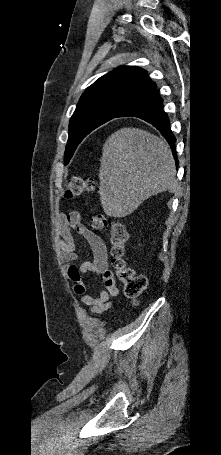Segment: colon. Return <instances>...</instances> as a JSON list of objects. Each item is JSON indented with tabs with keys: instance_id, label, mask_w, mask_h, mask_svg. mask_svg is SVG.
I'll list each match as a JSON object with an SVG mask.
<instances>
[{
	"instance_id": "5ec220e1",
	"label": "colon",
	"mask_w": 221,
	"mask_h": 455,
	"mask_svg": "<svg viewBox=\"0 0 221 455\" xmlns=\"http://www.w3.org/2000/svg\"><path fill=\"white\" fill-rule=\"evenodd\" d=\"M97 187V183L92 178L72 177L67 182L65 197L71 199L82 193L92 192ZM89 222L96 232H103L109 228L111 263L115 279L123 285L126 296L137 299L147 286V278L144 275H137L127 262L128 233L125 227L117 221L109 222L103 213L92 214Z\"/></svg>"
}]
</instances>
